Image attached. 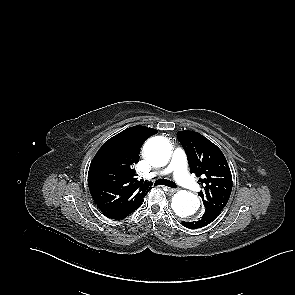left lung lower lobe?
Masks as SVG:
<instances>
[{
    "instance_id": "1",
    "label": "left lung lower lobe",
    "mask_w": 295,
    "mask_h": 295,
    "mask_svg": "<svg viewBox=\"0 0 295 295\" xmlns=\"http://www.w3.org/2000/svg\"><path fill=\"white\" fill-rule=\"evenodd\" d=\"M221 211V209L217 208H206L205 213L198 221L182 222V225L189 229H197L204 227L211 223L221 213Z\"/></svg>"
}]
</instances>
